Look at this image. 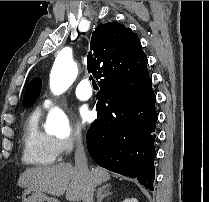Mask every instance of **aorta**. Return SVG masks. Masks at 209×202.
<instances>
[{
  "instance_id": "obj_1",
  "label": "aorta",
  "mask_w": 209,
  "mask_h": 202,
  "mask_svg": "<svg viewBox=\"0 0 209 202\" xmlns=\"http://www.w3.org/2000/svg\"><path fill=\"white\" fill-rule=\"evenodd\" d=\"M77 77V66L70 55L60 53L55 59L50 73V89L53 94L65 92ZM44 128L48 133L68 134L69 119L59 108L52 109L46 119Z\"/></svg>"
}]
</instances>
